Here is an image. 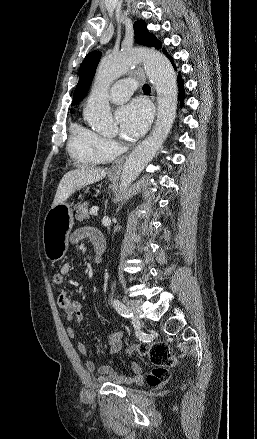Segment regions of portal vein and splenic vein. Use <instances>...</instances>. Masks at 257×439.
Listing matches in <instances>:
<instances>
[{"mask_svg":"<svg viewBox=\"0 0 257 439\" xmlns=\"http://www.w3.org/2000/svg\"><path fill=\"white\" fill-rule=\"evenodd\" d=\"M98 210H99L98 206H93V207L90 209V215L97 214Z\"/></svg>","mask_w":257,"mask_h":439,"instance_id":"1","label":"portal vein and splenic vein"}]
</instances>
